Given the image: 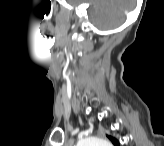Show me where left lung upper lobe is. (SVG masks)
Masks as SVG:
<instances>
[{
    "label": "left lung upper lobe",
    "mask_w": 164,
    "mask_h": 146,
    "mask_svg": "<svg viewBox=\"0 0 164 146\" xmlns=\"http://www.w3.org/2000/svg\"><path fill=\"white\" fill-rule=\"evenodd\" d=\"M108 138L112 141V143L115 145V146H119V143L117 142V140L111 136H108Z\"/></svg>",
    "instance_id": "obj_1"
}]
</instances>
